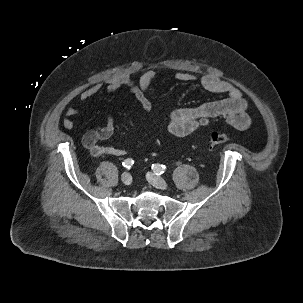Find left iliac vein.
<instances>
[{
  "label": "left iliac vein",
  "instance_id": "4c4485c4",
  "mask_svg": "<svg viewBox=\"0 0 303 303\" xmlns=\"http://www.w3.org/2000/svg\"><path fill=\"white\" fill-rule=\"evenodd\" d=\"M147 180L158 189H168V183L160 176H156L153 173H147Z\"/></svg>",
  "mask_w": 303,
  "mask_h": 303
}]
</instances>
